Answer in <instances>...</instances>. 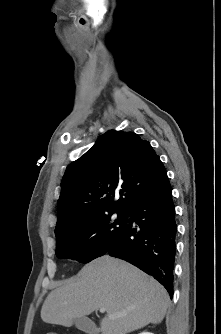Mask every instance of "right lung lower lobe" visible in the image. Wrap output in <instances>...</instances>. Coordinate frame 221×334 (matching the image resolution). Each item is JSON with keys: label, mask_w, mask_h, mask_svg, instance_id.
Returning a JSON list of instances; mask_svg holds the SVG:
<instances>
[{"label": "right lung lower lobe", "mask_w": 221, "mask_h": 334, "mask_svg": "<svg viewBox=\"0 0 221 334\" xmlns=\"http://www.w3.org/2000/svg\"><path fill=\"white\" fill-rule=\"evenodd\" d=\"M127 216L139 228H134L129 220L119 240L105 253L130 262L153 276L172 298L177 224L168 177L142 197Z\"/></svg>", "instance_id": "98d812e1"}]
</instances>
